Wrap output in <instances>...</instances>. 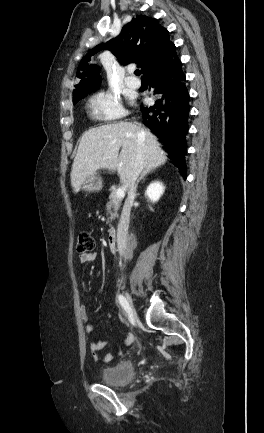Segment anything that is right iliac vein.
<instances>
[{"mask_svg":"<svg viewBox=\"0 0 264 433\" xmlns=\"http://www.w3.org/2000/svg\"><path fill=\"white\" fill-rule=\"evenodd\" d=\"M126 300L128 302V305H129V311L128 312L133 316V318H136V310H135L134 305H133L132 297L129 293L126 294Z\"/></svg>","mask_w":264,"mask_h":433,"instance_id":"obj_1","label":"right iliac vein"}]
</instances>
